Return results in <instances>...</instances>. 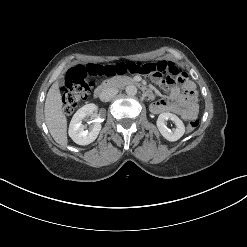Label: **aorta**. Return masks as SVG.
Instances as JSON below:
<instances>
[{
	"label": "aorta",
	"mask_w": 247,
	"mask_h": 247,
	"mask_svg": "<svg viewBox=\"0 0 247 247\" xmlns=\"http://www.w3.org/2000/svg\"><path fill=\"white\" fill-rule=\"evenodd\" d=\"M125 91L128 95L134 96L137 94V87L135 85H128Z\"/></svg>",
	"instance_id": "aorta-1"
}]
</instances>
